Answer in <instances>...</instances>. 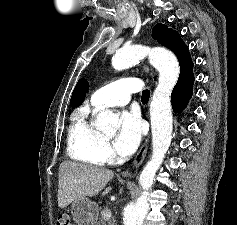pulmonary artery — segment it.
<instances>
[{
  "label": "pulmonary artery",
  "mask_w": 237,
  "mask_h": 225,
  "mask_svg": "<svg viewBox=\"0 0 237 225\" xmlns=\"http://www.w3.org/2000/svg\"><path fill=\"white\" fill-rule=\"evenodd\" d=\"M141 88V82L135 77L119 79L97 89L91 102L96 108L123 106L129 103L131 94L139 92Z\"/></svg>",
  "instance_id": "obj_1"
}]
</instances>
